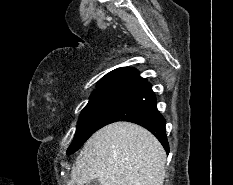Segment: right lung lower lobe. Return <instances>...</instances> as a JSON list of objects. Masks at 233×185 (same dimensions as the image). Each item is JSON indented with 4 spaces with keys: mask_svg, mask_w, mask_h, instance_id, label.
Instances as JSON below:
<instances>
[{
    "mask_svg": "<svg viewBox=\"0 0 233 185\" xmlns=\"http://www.w3.org/2000/svg\"><path fill=\"white\" fill-rule=\"evenodd\" d=\"M116 121H129L143 126L161 142L166 152L169 144L165 119L156 107V98L148 82L131 90L100 122L98 129Z\"/></svg>",
    "mask_w": 233,
    "mask_h": 185,
    "instance_id": "98d812e1",
    "label": "right lung lower lobe"
}]
</instances>
